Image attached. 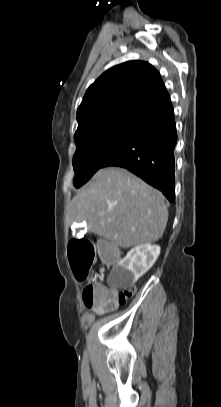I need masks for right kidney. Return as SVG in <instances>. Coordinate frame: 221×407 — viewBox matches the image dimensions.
Wrapping results in <instances>:
<instances>
[{
  "mask_svg": "<svg viewBox=\"0 0 221 407\" xmlns=\"http://www.w3.org/2000/svg\"><path fill=\"white\" fill-rule=\"evenodd\" d=\"M160 254V246L149 243L132 248L127 255L119 261L115 269L120 283L129 287L137 282L155 263Z\"/></svg>",
  "mask_w": 221,
  "mask_h": 407,
  "instance_id": "ca27d5eb",
  "label": "right kidney"
}]
</instances>
